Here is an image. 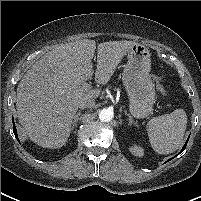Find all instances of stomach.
I'll use <instances>...</instances> for the list:
<instances>
[{
	"mask_svg": "<svg viewBox=\"0 0 201 201\" xmlns=\"http://www.w3.org/2000/svg\"><path fill=\"white\" fill-rule=\"evenodd\" d=\"M128 59L122 81L130 101V112L136 118L147 117L155 101L154 84L150 78L151 54L142 44L132 45L126 52Z\"/></svg>",
	"mask_w": 201,
	"mask_h": 201,
	"instance_id": "stomach-1",
	"label": "stomach"
}]
</instances>
